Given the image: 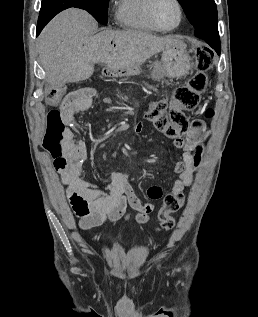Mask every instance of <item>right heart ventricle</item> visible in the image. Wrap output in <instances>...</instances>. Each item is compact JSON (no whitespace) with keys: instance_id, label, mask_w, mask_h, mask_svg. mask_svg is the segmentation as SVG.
<instances>
[{"instance_id":"obj_1","label":"right heart ventricle","mask_w":258,"mask_h":317,"mask_svg":"<svg viewBox=\"0 0 258 317\" xmlns=\"http://www.w3.org/2000/svg\"><path fill=\"white\" fill-rule=\"evenodd\" d=\"M152 0H119L116 5L115 21L125 30L146 34L157 32L147 17Z\"/></svg>"}]
</instances>
